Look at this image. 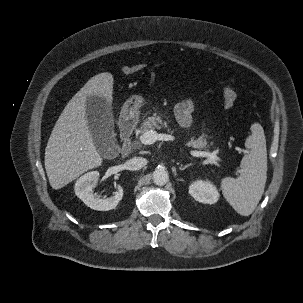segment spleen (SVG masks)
I'll list each match as a JSON object with an SVG mask.
<instances>
[{
	"mask_svg": "<svg viewBox=\"0 0 303 303\" xmlns=\"http://www.w3.org/2000/svg\"><path fill=\"white\" fill-rule=\"evenodd\" d=\"M245 146L250 150L241 160L238 178L226 177L221 181L225 199L242 215L249 216L258 205L267 179V149L263 127L254 123Z\"/></svg>",
	"mask_w": 303,
	"mask_h": 303,
	"instance_id": "1",
	"label": "spleen"
}]
</instances>
